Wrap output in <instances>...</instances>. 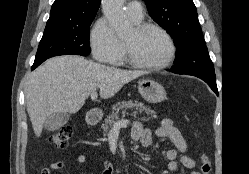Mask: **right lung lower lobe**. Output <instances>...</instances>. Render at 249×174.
I'll return each mask as SVG.
<instances>
[{"label": "right lung lower lobe", "mask_w": 249, "mask_h": 174, "mask_svg": "<svg viewBox=\"0 0 249 174\" xmlns=\"http://www.w3.org/2000/svg\"><path fill=\"white\" fill-rule=\"evenodd\" d=\"M41 63H34L33 66H32V70L35 69L38 65H40Z\"/></svg>", "instance_id": "1"}]
</instances>
